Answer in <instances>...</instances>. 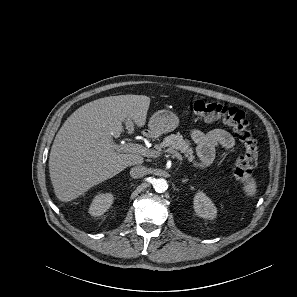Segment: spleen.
Here are the masks:
<instances>
[{"label": "spleen", "mask_w": 297, "mask_h": 297, "mask_svg": "<svg viewBox=\"0 0 297 297\" xmlns=\"http://www.w3.org/2000/svg\"><path fill=\"white\" fill-rule=\"evenodd\" d=\"M256 187V182L254 179H251L246 181L243 190L247 196H254L256 193Z\"/></svg>", "instance_id": "spleen-1"}]
</instances>
